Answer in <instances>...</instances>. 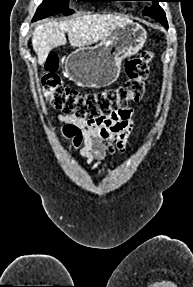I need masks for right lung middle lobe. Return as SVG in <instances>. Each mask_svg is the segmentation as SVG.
<instances>
[{
  "label": "right lung middle lobe",
  "mask_w": 193,
  "mask_h": 287,
  "mask_svg": "<svg viewBox=\"0 0 193 287\" xmlns=\"http://www.w3.org/2000/svg\"><path fill=\"white\" fill-rule=\"evenodd\" d=\"M78 1H101V0H78ZM69 0H43L33 18L34 21L63 12L65 15L74 11L68 8Z\"/></svg>",
  "instance_id": "right-lung-middle-lobe-1"
}]
</instances>
